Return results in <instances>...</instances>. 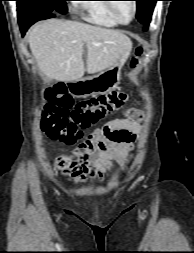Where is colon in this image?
I'll list each match as a JSON object with an SVG mask.
<instances>
[{"mask_svg": "<svg viewBox=\"0 0 194 253\" xmlns=\"http://www.w3.org/2000/svg\"><path fill=\"white\" fill-rule=\"evenodd\" d=\"M142 54V47H137L131 62L132 67H136ZM46 97L48 103L43 114L42 127L50 138L69 145L82 138L84 129L119 110L128 99L125 91L118 90L74 105L65 86L50 89ZM56 164L60 169H66L70 166V160L61 155L56 158Z\"/></svg>", "mask_w": 194, "mask_h": 253, "instance_id": "colon-1", "label": "colon"}]
</instances>
